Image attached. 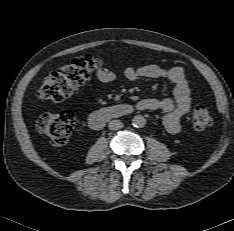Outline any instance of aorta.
I'll return each mask as SVG.
<instances>
[{
  "instance_id": "obj_1",
  "label": "aorta",
  "mask_w": 234,
  "mask_h": 231,
  "mask_svg": "<svg viewBox=\"0 0 234 231\" xmlns=\"http://www.w3.org/2000/svg\"><path fill=\"white\" fill-rule=\"evenodd\" d=\"M132 124L136 128H142L146 124V120L143 116L141 115H136L132 119Z\"/></svg>"
}]
</instances>
